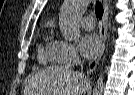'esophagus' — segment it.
Masks as SVG:
<instances>
[{"label":"esophagus","instance_id":"obj_1","mask_svg":"<svg viewBox=\"0 0 135 95\" xmlns=\"http://www.w3.org/2000/svg\"><path fill=\"white\" fill-rule=\"evenodd\" d=\"M103 4H104V12H103L102 20L100 22L101 48L99 52L94 56V58L88 64V67H87L88 75L93 73V71L96 69L105 49V43H106L107 31H108V2L105 0Z\"/></svg>","mask_w":135,"mask_h":95}]
</instances>
